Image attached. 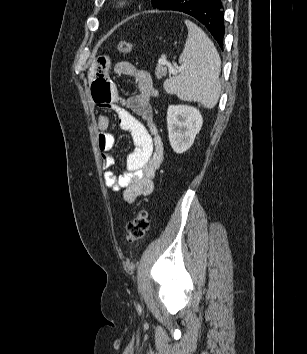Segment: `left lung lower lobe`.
Masks as SVG:
<instances>
[{
  "mask_svg": "<svg viewBox=\"0 0 307 354\" xmlns=\"http://www.w3.org/2000/svg\"><path fill=\"white\" fill-rule=\"evenodd\" d=\"M160 10L180 11L196 18L223 47L225 29L222 0H170Z\"/></svg>",
  "mask_w": 307,
  "mask_h": 354,
  "instance_id": "1",
  "label": "left lung lower lobe"
}]
</instances>
